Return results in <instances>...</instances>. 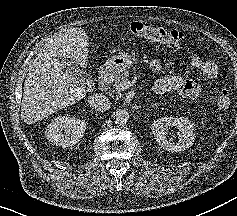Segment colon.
Segmentation results:
<instances>
[{
    "label": "colon",
    "mask_w": 237,
    "mask_h": 216,
    "mask_svg": "<svg viewBox=\"0 0 237 216\" xmlns=\"http://www.w3.org/2000/svg\"><path fill=\"white\" fill-rule=\"evenodd\" d=\"M129 28L131 33L136 36L164 43L173 48H179L183 44L184 36L179 31H168L142 22H133ZM217 106L221 110H226L231 106V97L227 90L220 92Z\"/></svg>",
    "instance_id": "5ec220e1"
}]
</instances>
